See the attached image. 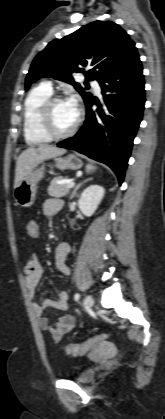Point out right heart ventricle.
<instances>
[{
    "label": "right heart ventricle",
    "instance_id": "obj_1",
    "mask_svg": "<svg viewBox=\"0 0 165 419\" xmlns=\"http://www.w3.org/2000/svg\"><path fill=\"white\" fill-rule=\"evenodd\" d=\"M52 96V89L46 84L34 87L26 96L23 106V134L30 145H40L50 142L39 121L41 104Z\"/></svg>",
    "mask_w": 165,
    "mask_h": 419
}]
</instances>
